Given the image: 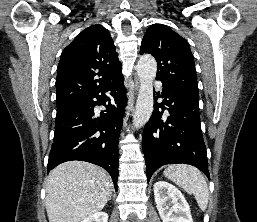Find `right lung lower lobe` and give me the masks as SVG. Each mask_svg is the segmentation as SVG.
Instances as JSON below:
<instances>
[{
    "instance_id": "obj_1",
    "label": "right lung lower lobe",
    "mask_w": 257,
    "mask_h": 222,
    "mask_svg": "<svg viewBox=\"0 0 257 222\" xmlns=\"http://www.w3.org/2000/svg\"><path fill=\"white\" fill-rule=\"evenodd\" d=\"M123 79L122 73H119L80 103L57 112L48 172L65 161H87L103 167L111 175L117 190L118 140L126 105ZM105 92H110L111 98ZM96 104L107 108L98 118L93 109Z\"/></svg>"
}]
</instances>
